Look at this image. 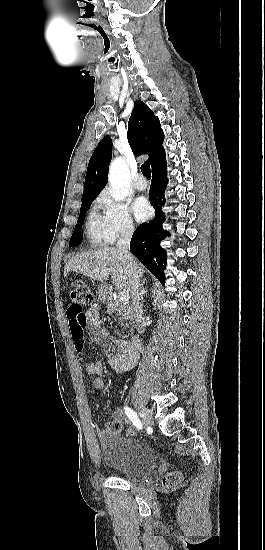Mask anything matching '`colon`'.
<instances>
[{"mask_svg":"<svg viewBox=\"0 0 265 550\" xmlns=\"http://www.w3.org/2000/svg\"><path fill=\"white\" fill-rule=\"evenodd\" d=\"M70 306L67 310V316L70 319V327L74 339L82 336L83 326L86 321L84 306L93 301V294L90 287L82 282H73L69 287ZM106 429L110 434L117 435L122 432V426L118 421H109L106 424ZM131 430L126 431V435H133ZM181 482L180 474L169 473L162 481V485L166 489H173Z\"/></svg>","mask_w":265,"mask_h":550,"instance_id":"colon-1","label":"colon"}]
</instances>
